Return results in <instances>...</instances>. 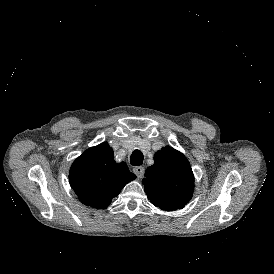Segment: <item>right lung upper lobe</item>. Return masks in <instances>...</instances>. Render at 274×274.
<instances>
[{"label": "right lung upper lobe", "instance_id": "cb5924a9", "mask_svg": "<svg viewBox=\"0 0 274 274\" xmlns=\"http://www.w3.org/2000/svg\"><path fill=\"white\" fill-rule=\"evenodd\" d=\"M125 162L116 163L113 150L104 142L87 149L71 166L69 181L79 200L105 209L124 186L134 180Z\"/></svg>", "mask_w": 274, "mask_h": 274}]
</instances>
